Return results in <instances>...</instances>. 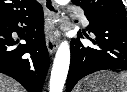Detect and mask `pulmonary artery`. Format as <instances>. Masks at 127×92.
Returning <instances> with one entry per match:
<instances>
[{"mask_svg": "<svg viewBox=\"0 0 127 92\" xmlns=\"http://www.w3.org/2000/svg\"><path fill=\"white\" fill-rule=\"evenodd\" d=\"M77 14L79 16V19H80L81 23L84 24V25H87L88 20H87L86 16L84 15L83 11L77 10Z\"/></svg>", "mask_w": 127, "mask_h": 92, "instance_id": "e3ab8cb5", "label": "pulmonary artery"}]
</instances>
